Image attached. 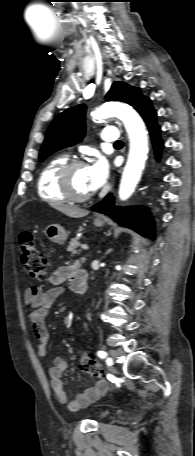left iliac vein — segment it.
Returning a JSON list of instances; mask_svg holds the SVG:
<instances>
[{
  "label": "left iliac vein",
  "instance_id": "obj_1",
  "mask_svg": "<svg viewBox=\"0 0 195 456\" xmlns=\"http://www.w3.org/2000/svg\"><path fill=\"white\" fill-rule=\"evenodd\" d=\"M109 353H110V357H111L109 360L111 363H113V361L118 357L119 352L112 349L109 351Z\"/></svg>",
  "mask_w": 195,
  "mask_h": 456
}]
</instances>
